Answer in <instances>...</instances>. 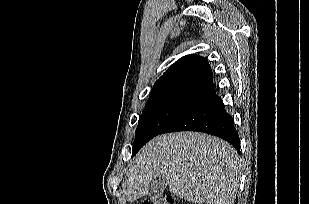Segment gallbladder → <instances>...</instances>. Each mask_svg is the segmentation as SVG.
I'll return each instance as SVG.
<instances>
[{"label":"gallbladder","instance_id":"1","mask_svg":"<svg viewBox=\"0 0 309 204\" xmlns=\"http://www.w3.org/2000/svg\"><path fill=\"white\" fill-rule=\"evenodd\" d=\"M166 188H167V182L164 179L160 177L154 178L150 183L148 189V195L152 199H158Z\"/></svg>","mask_w":309,"mask_h":204}]
</instances>
